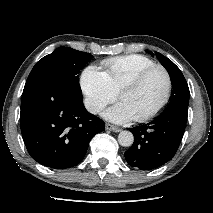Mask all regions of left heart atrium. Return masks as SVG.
<instances>
[{"label": "left heart atrium", "instance_id": "1", "mask_svg": "<svg viewBox=\"0 0 213 213\" xmlns=\"http://www.w3.org/2000/svg\"><path fill=\"white\" fill-rule=\"evenodd\" d=\"M104 117L107 120L115 123H124L134 119L133 114L123 102H119L113 107L109 108L104 113Z\"/></svg>", "mask_w": 213, "mask_h": 213}]
</instances>
